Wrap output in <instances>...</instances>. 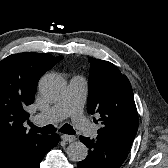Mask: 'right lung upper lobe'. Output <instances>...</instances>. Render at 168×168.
<instances>
[{
    "mask_svg": "<svg viewBox=\"0 0 168 168\" xmlns=\"http://www.w3.org/2000/svg\"><path fill=\"white\" fill-rule=\"evenodd\" d=\"M63 57L45 53L12 54L0 62V168H13L47 136L26 131L24 108L34 101L40 77Z\"/></svg>",
    "mask_w": 168,
    "mask_h": 168,
    "instance_id": "obj_1",
    "label": "right lung upper lobe"
}]
</instances>
